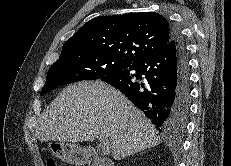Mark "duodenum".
<instances>
[{
    "label": "duodenum",
    "mask_w": 231,
    "mask_h": 166,
    "mask_svg": "<svg viewBox=\"0 0 231 166\" xmlns=\"http://www.w3.org/2000/svg\"><path fill=\"white\" fill-rule=\"evenodd\" d=\"M84 162L87 166H113L104 156L92 150L85 153Z\"/></svg>",
    "instance_id": "1"
}]
</instances>
